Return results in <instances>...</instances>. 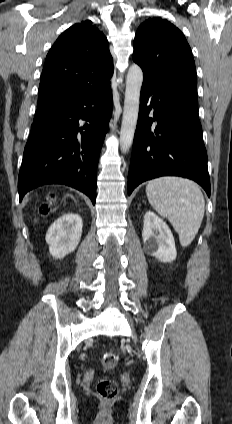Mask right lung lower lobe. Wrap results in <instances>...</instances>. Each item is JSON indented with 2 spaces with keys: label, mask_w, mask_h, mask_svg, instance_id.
<instances>
[{
  "label": "right lung lower lobe",
  "mask_w": 232,
  "mask_h": 424,
  "mask_svg": "<svg viewBox=\"0 0 232 424\" xmlns=\"http://www.w3.org/2000/svg\"><path fill=\"white\" fill-rule=\"evenodd\" d=\"M111 113L110 86L37 105L19 172V200L38 186L59 183L84 192L95 204L97 164ZM80 119L87 121L83 127Z\"/></svg>",
  "instance_id": "98d812e1"
}]
</instances>
